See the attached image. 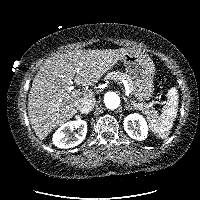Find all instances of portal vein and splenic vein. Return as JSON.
Returning <instances> with one entry per match:
<instances>
[{
    "instance_id": "18ae733b",
    "label": "portal vein and splenic vein",
    "mask_w": 200,
    "mask_h": 200,
    "mask_svg": "<svg viewBox=\"0 0 200 200\" xmlns=\"http://www.w3.org/2000/svg\"><path fill=\"white\" fill-rule=\"evenodd\" d=\"M71 89H73V87ZM128 93H129V90H128V88H126L125 89V96L129 99V94ZM131 102L133 103V101H131Z\"/></svg>"
}]
</instances>
